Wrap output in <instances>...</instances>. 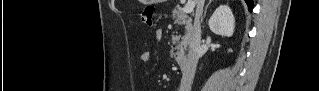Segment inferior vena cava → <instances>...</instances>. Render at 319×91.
Wrapping results in <instances>:
<instances>
[{
	"label": "inferior vena cava",
	"instance_id": "602c4592",
	"mask_svg": "<svg viewBox=\"0 0 319 91\" xmlns=\"http://www.w3.org/2000/svg\"><path fill=\"white\" fill-rule=\"evenodd\" d=\"M204 2L205 0H196L197 8L195 20L192 27L191 38L189 41V50L186 65L182 71L179 91H191V85L199 59V49L201 43V19L203 14Z\"/></svg>",
	"mask_w": 319,
	"mask_h": 91
}]
</instances>
